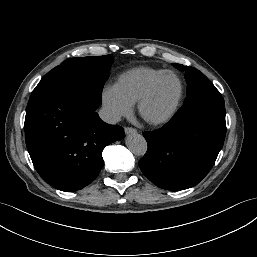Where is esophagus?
I'll return each mask as SVG.
<instances>
[{
  "label": "esophagus",
  "mask_w": 257,
  "mask_h": 257,
  "mask_svg": "<svg viewBox=\"0 0 257 257\" xmlns=\"http://www.w3.org/2000/svg\"><path fill=\"white\" fill-rule=\"evenodd\" d=\"M125 134H135L137 133V130L133 127H125Z\"/></svg>",
  "instance_id": "34e87169"
}]
</instances>
